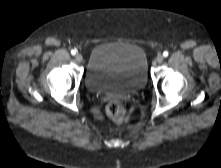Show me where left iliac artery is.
<instances>
[{"instance_id": "obj_1", "label": "left iliac artery", "mask_w": 221, "mask_h": 168, "mask_svg": "<svg viewBox=\"0 0 221 168\" xmlns=\"http://www.w3.org/2000/svg\"><path fill=\"white\" fill-rule=\"evenodd\" d=\"M168 54H169L168 51H164V52H163V56H164V57H167Z\"/></svg>"}]
</instances>
